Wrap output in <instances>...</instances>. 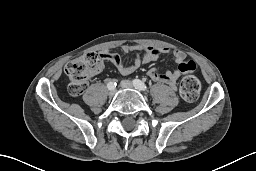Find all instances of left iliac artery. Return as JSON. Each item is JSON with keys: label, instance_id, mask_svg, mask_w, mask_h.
Instances as JSON below:
<instances>
[{"label": "left iliac artery", "instance_id": "left-iliac-artery-1", "mask_svg": "<svg viewBox=\"0 0 256 171\" xmlns=\"http://www.w3.org/2000/svg\"><path fill=\"white\" fill-rule=\"evenodd\" d=\"M133 85H134L137 89H139V90H143V91L147 90L146 84H145L144 82H142L141 80H139V79H134V80H133Z\"/></svg>", "mask_w": 256, "mask_h": 171}]
</instances>
